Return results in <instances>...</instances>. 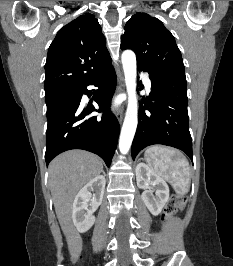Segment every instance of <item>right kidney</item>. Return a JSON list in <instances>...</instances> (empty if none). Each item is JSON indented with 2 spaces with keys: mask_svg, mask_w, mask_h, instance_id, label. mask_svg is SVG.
Segmentation results:
<instances>
[{
  "mask_svg": "<svg viewBox=\"0 0 233 266\" xmlns=\"http://www.w3.org/2000/svg\"><path fill=\"white\" fill-rule=\"evenodd\" d=\"M106 180L98 175L89 181L76 195L73 202L72 219L81 233L88 231L95 223L93 215L103 200Z\"/></svg>",
  "mask_w": 233,
  "mask_h": 266,
  "instance_id": "right-kidney-1",
  "label": "right kidney"
}]
</instances>
